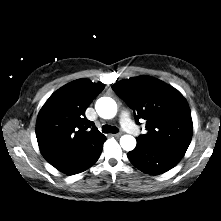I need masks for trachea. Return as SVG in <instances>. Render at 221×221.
Listing matches in <instances>:
<instances>
[{
	"label": "trachea",
	"mask_w": 221,
	"mask_h": 221,
	"mask_svg": "<svg viewBox=\"0 0 221 221\" xmlns=\"http://www.w3.org/2000/svg\"><path fill=\"white\" fill-rule=\"evenodd\" d=\"M102 132L103 133H117L118 132V128L115 126H110V125H103L102 127Z\"/></svg>",
	"instance_id": "1"
}]
</instances>
